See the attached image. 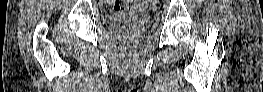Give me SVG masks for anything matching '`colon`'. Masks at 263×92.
Returning a JSON list of instances; mask_svg holds the SVG:
<instances>
[{"label":"colon","instance_id":"5ec220e1","mask_svg":"<svg viewBox=\"0 0 263 92\" xmlns=\"http://www.w3.org/2000/svg\"><path fill=\"white\" fill-rule=\"evenodd\" d=\"M112 6L115 9H121L122 3L120 1H112Z\"/></svg>","mask_w":263,"mask_h":92}]
</instances>
